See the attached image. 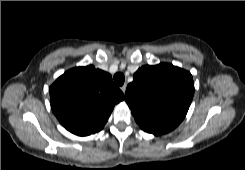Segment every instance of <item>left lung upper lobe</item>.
<instances>
[{"instance_id":"5c2ea615","label":"left lung upper lobe","mask_w":245,"mask_h":170,"mask_svg":"<svg viewBox=\"0 0 245 170\" xmlns=\"http://www.w3.org/2000/svg\"><path fill=\"white\" fill-rule=\"evenodd\" d=\"M194 94L190 72L168 63L146 65L133 75L125 101L138 125L156 135L175 129L184 119Z\"/></svg>"}]
</instances>
